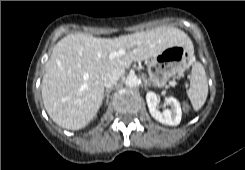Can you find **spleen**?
<instances>
[{"mask_svg": "<svg viewBox=\"0 0 245 170\" xmlns=\"http://www.w3.org/2000/svg\"><path fill=\"white\" fill-rule=\"evenodd\" d=\"M187 95L195 111L201 109L207 99V77L205 69L200 62H196L192 66L190 86L187 89Z\"/></svg>", "mask_w": 245, "mask_h": 170, "instance_id": "1", "label": "spleen"}]
</instances>
